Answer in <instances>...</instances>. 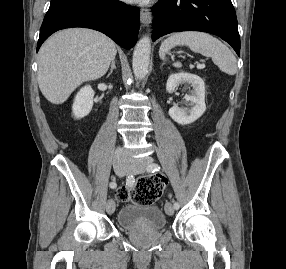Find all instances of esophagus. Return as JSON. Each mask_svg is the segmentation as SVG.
<instances>
[{
    "label": "esophagus",
    "instance_id": "obj_1",
    "mask_svg": "<svg viewBox=\"0 0 286 269\" xmlns=\"http://www.w3.org/2000/svg\"><path fill=\"white\" fill-rule=\"evenodd\" d=\"M140 21L144 27L147 29L150 28L152 22V14L151 11L147 8H143L140 11Z\"/></svg>",
    "mask_w": 286,
    "mask_h": 269
}]
</instances>
